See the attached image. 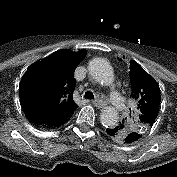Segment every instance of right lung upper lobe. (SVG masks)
I'll list each match as a JSON object with an SVG mask.
<instances>
[{
  "instance_id": "cb5924a9",
  "label": "right lung upper lobe",
  "mask_w": 177,
  "mask_h": 177,
  "mask_svg": "<svg viewBox=\"0 0 177 177\" xmlns=\"http://www.w3.org/2000/svg\"><path fill=\"white\" fill-rule=\"evenodd\" d=\"M86 54L60 50L27 69L19 86L26 116L40 117L55 127L67 122L78 107L72 98L74 71Z\"/></svg>"
}]
</instances>
